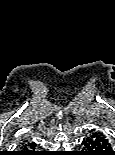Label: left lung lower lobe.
<instances>
[{"label": "left lung lower lobe", "mask_w": 115, "mask_h": 155, "mask_svg": "<svg viewBox=\"0 0 115 155\" xmlns=\"http://www.w3.org/2000/svg\"><path fill=\"white\" fill-rule=\"evenodd\" d=\"M81 155H115L109 138L103 132H93L83 140Z\"/></svg>", "instance_id": "1"}]
</instances>
